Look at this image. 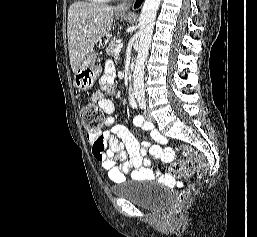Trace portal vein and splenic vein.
<instances>
[{
  "mask_svg": "<svg viewBox=\"0 0 257 237\" xmlns=\"http://www.w3.org/2000/svg\"><path fill=\"white\" fill-rule=\"evenodd\" d=\"M122 47H123V44H122V43H120L119 45H117L116 48H115V53H116V54H119L120 51H121V49H122Z\"/></svg>",
  "mask_w": 257,
  "mask_h": 237,
  "instance_id": "portal-vein-and-splenic-vein-1",
  "label": "portal vein and splenic vein"
}]
</instances>
